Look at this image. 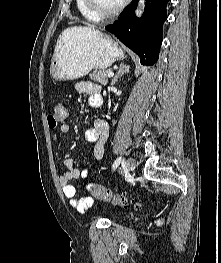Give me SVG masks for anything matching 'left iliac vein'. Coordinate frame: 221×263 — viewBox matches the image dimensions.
Wrapping results in <instances>:
<instances>
[{
	"label": "left iliac vein",
	"mask_w": 221,
	"mask_h": 263,
	"mask_svg": "<svg viewBox=\"0 0 221 263\" xmlns=\"http://www.w3.org/2000/svg\"><path fill=\"white\" fill-rule=\"evenodd\" d=\"M135 168V160L133 158H128L126 161V169L128 172L133 171Z\"/></svg>",
	"instance_id": "obj_1"
}]
</instances>
